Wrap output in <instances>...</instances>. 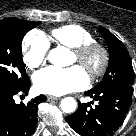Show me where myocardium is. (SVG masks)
<instances>
[{"mask_svg":"<svg viewBox=\"0 0 136 136\" xmlns=\"http://www.w3.org/2000/svg\"><path fill=\"white\" fill-rule=\"evenodd\" d=\"M73 54L76 56L77 62L85 68L91 80H95L102 76L110 61L108 49L103 44L95 41L73 48ZM94 54H98L99 60L96 64L89 65L88 60Z\"/></svg>","mask_w":136,"mask_h":136,"instance_id":"obj_1","label":"myocardium"}]
</instances>
